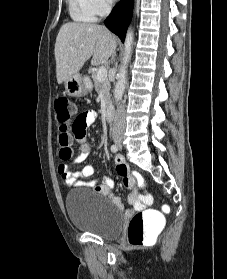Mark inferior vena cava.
Wrapping results in <instances>:
<instances>
[{"mask_svg": "<svg viewBox=\"0 0 227 279\" xmlns=\"http://www.w3.org/2000/svg\"><path fill=\"white\" fill-rule=\"evenodd\" d=\"M115 57V52L112 54V60ZM125 130V111L124 106L122 104H119L116 110L114 123H113V130L112 134L113 137L119 136L123 134Z\"/></svg>", "mask_w": 227, "mask_h": 279, "instance_id": "obj_1", "label": "inferior vena cava"}]
</instances>
